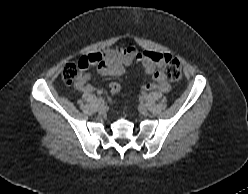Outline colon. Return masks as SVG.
<instances>
[{"instance_id":"obj_1","label":"colon","mask_w":248,"mask_h":194,"mask_svg":"<svg viewBox=\"0 0 248 194\" xmlns=\"http://www.w3.org/2000/svg\"><path fill=\"white\" fill-rule=\"evenodd\" d=\"M154 61L162 66V72L167 80L179 81L182 77V70L179 61L168 54L153 55ZM97 59L92 55L82 57L77 63H67L62 71V79L66 85H71L76 82L82 71L89 66L96 64ZM122 86L118 82L111 84L113 92H119Z\"/></svg>"}]
</instances>
